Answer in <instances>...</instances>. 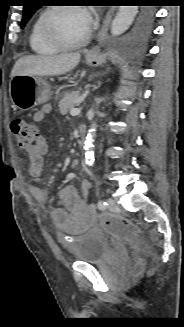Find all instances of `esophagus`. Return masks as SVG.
<instances>
[{
  "instance_id": "obj_1",
  "label": "esophagus",
  "mask_w": 184,
  "mask_h": 327,
  "mask_svg": "<svg viewBox=\"0 0 184 327\" xmlns=\"http://www.w3.org/2000/svg\"><path fill=\"white\" fill-rule=\"evenodd\" d=\"M113 9H110L108 11V13L106 14L105 16V19L103 21V24H102V27H101V30L98 34V37H97V42L98 44L95 45L89 52H88V55L90 56H96V55H99L100 54V46L106 36V33H107V30H108V27H109V24H110V21L112 19V16H113Z\"/></svg>"
}]
</instances>
